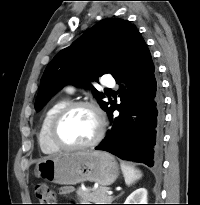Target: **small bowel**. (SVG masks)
Wrapping results in <instances>:
<instances>
[{
  "label": "small bowel",
  "mask_w": 200,
  "mask_h": 205,
  "mask_svg": "<svg viewBox=\"0 0 200 205\" xmlns=\"http://www.w3.org/2000/svg\"><path fill=\"white\" fill-rule=\"evenodd\" d=\"M70 193H72V188L71 187L65 186V187L60 188V194H62V195H67V194H70Z\"/></svg>",
  "instance_id": "obj_1"
}]
</instances>
